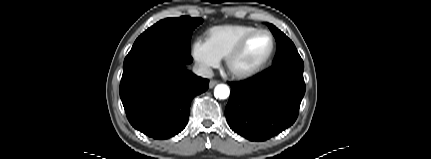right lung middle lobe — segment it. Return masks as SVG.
Listing matches in <instances>:
<instances>
[{"label":"right lung middle lobe","instance_id":"dd1d6c3e","mask_svg":"<svg viewBox=\"0 0 431 159\" xmlns=\"http://www.w3.org/2000/svg\"><path fill=\"white\" fill-rule=\"evenodd\" d=\"M202 22L201 18L188 16L163 19L143 32L136 39L132 48L153 42H164L174 44L190 52L193 30Z\"/></svg>","mask_w":431,"mask_h":159}]
</instances>
